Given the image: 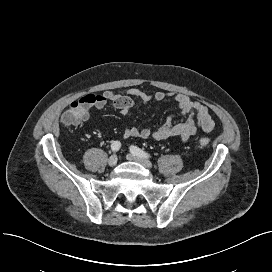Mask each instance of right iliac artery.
Segmentation results:
<instances>
[{
	"mask_svg": "<svg viewBox=\"0 0 272 272\" xmlns=\"http://www.w3.org/2000/svg\"><path fill=\"white\" fill-rule=\"evenodd\" d=\"M121 147V143L119 141H114L112 144H111V149L113 152H117Z\"/></svg>",
	"mask_w": 272,
	"mask_h": 272,
	"instance_id": "1",
	"label": "right iliac artery"
}]
</instances>
